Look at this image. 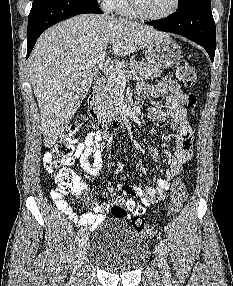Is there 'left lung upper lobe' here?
I'll return each instance as SVG.
<instances>
[{"mask_svg": "<svg viewBox=\"0 0 233 286\" xmlns=\"http://www.w3.org/2000/svg\"><path fill=\"white\" fill-rule=\"evenodd\" d=\"M191 0H178L179 10L184 8Z\"/></svg>", "mask_w": 233, "mask_h": 286, "instance_id": "obj_1", "label": "left lung upper lobe"}]
</instances>
